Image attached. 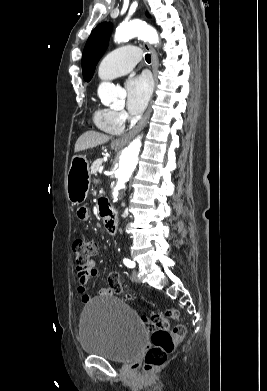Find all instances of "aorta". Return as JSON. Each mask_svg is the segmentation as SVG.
<instances>
[{
  "instance_id": "obj_1",
  "label": "aorta",
  "mask_w": 267,
  "mask_h": 391,
  "mask_svg": "<svg viewBox=\"0 0 267 391\" xmlns=\"http://www.w3.org/2000/svg\"><path fill=\"white\" fill-rule=\"evenodd\" d=\"M134 37L145 40L150 44L159 43L157 31L142 21H130L120 24L115 32L114 42L122 43ZM98 96L103 103L114 104L119 102L122 92L114 84L103 82L99 85ZM140 147L141 141L140 138H137L122 151L119 157L118 167L115 172L116 185L112 192L113 202L118 201L125 184L137 165Z\"/></svg>"
}]
</instances>
